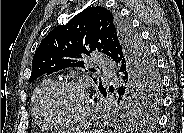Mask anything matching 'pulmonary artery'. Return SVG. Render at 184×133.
Returning <instances> with one entry per match:
<instances>
[{
	"label": "pulmonary artery",
	"mask_w": 184,
	"mask_h": 133,
	"mask_svg": "<svg viewBox=\"0 0 184 133\" xmlns=\"http://www.w3.org/2000/svg\"><path fill=\"white\" fill-rule=\"evenodd\" d=\"M97 64L99 68L103 71L112 70L114 68L113 62L109 58L104 56H100L97 58Z\"/></svg>",
	"instance_id": "pulmonary-artery-1"
}]
</instances>
